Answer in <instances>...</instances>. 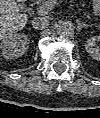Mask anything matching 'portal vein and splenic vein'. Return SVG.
I'll return each mask as SVG.
<instances>
[{
  "label": "portal vein and splenic vein",
  "mask_w": 100,
  "mask_h": 118,
  "mask_svg": "<svg viewBox=\"0 0 100 118\" xmlns=\"http://www.w3.org/2000/svg\"><path fill=\"white\" fill-rule=\"evenodd\" d=\"M60 2V0H47L44 5L40 6L38 8V13L39 14H47L48 12H50L55 5Z\"/></svg>",
  "instance_id": "portal-vein-and-splenic-vein-1"
}]
</instances>
